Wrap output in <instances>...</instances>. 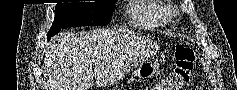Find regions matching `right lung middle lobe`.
Instances as JSON below:
<instances>
[{"label": "right lung middle lobe", "instance_id": "dd1d6c3e", "mask_svg": "<svg viewBox=\"0 0 237 90\" xmlns=\"http://www.w3.org/2000/svg\"><path fill=\"white\" fill-rule=\"evenodd\" d=\"M115 0L95 2L58 3L55 7V18L47 39L61 29L78 26H104L111 20Z\"/></svg>", "mask_w": 237, "mask_h": 90}]
</instances>
